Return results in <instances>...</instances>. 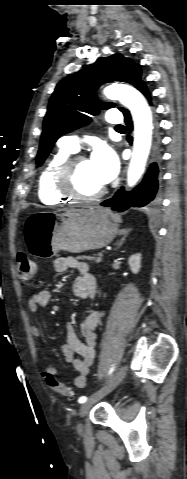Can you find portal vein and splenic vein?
Masks as SVG:
<instances>
[{"label": "portal vein and splenic vein", "mask_w": 187, "mask_h": 479, "mask_svg": "<svg viewBox=\"0 0 187 479\" xmlns=\"http://www.w3.org/2000/svg\"><path fill=\"white\" fill-rule=\"evenodd\" d=\"M98 256L102 258V257H103V253H102V252H99V253H98Z\"/></svg>", "instance_id": "1"}]
</instances>
